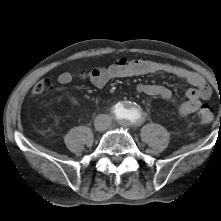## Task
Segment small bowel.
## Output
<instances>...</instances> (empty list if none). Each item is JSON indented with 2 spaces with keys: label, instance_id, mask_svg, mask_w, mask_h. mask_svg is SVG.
<instances>
[{
  "label": "small bowel",
  "instance_id": "1",
  "mask_svg": "<svg viewBox=\"0 0 221 221\" xmlns=\"http://www.w3.org/2000/svg\"><path fill=\"white\" fill-rule=\"evenodd\" d=\"M165 73L173 75L181 80L186 81L192 87L186 91L187 100L179 106V113L183 116L191 115L197 112L202 101L211 96V89L203 76L181 66L158 63L147 59H128L119 58L109 66H100L86 73L78 70L76 74L71 71H65L59 74L57 81L61 85L71 83L75 76L80 79L89 80L97 88H103L111 80L116 78H125L140 75H153ZM136 91L140 94L156 96L162 99H171L172 91L162 85L156 84H139Z\"/></svg>",
  "mask_w": 221,
  "mask_h": 221
}]
</instances>
